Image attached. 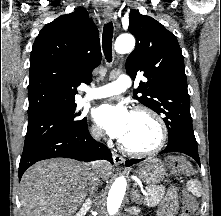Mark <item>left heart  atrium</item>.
<instances>
[{"label": "left heart atrium", "instance_id": "obj_1", "mask_svg": "<svg viewBox=\"0 0 221 216\" xmlns=\"http://www.w3.org/2000/svg\"><path fill=\"white\" fill-rule=\"evenodd\" d=\"M132 115L123 104H103L95 110L94 118L110 137L122 140L129 129Z\"/></svg>", "mask_w": 221, "mask_h": 216}]
</instances>
